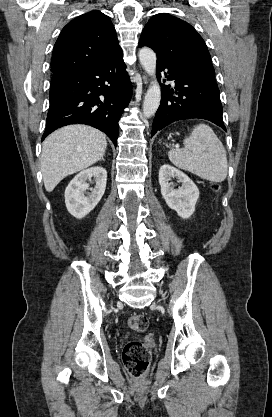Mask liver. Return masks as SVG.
<instances>
[{"label": "liver", "instance_id": "6515ba94", "mask_svg": "<svg viewBox=\"0 0 272 417\" xmlns=\"http://www.w3.org/2000/svg\"><path fill=\"white\" fill-rule=\"evenodd\" d=\"M107 147L106 136L87 125H69L56 130L43 142L41 171L47 192L68 175L101 160Z\"/></svg>", "mask_w": 272, "mask_h": 417}]
</instances>
